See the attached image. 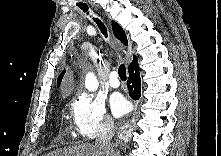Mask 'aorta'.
<instances>
[{"instance_id":"obj_1","label":"aorta","mask_w":221,"mask_h":156,"mask_svg":"<svg viewBox=\"0 0 221 156\" xmlns=\"http://www.w3.org/2000/svg\"><path fill=\"white\" fill-rule=\"evenodd\" d=\"M85 87L89 91H95L98 88V80L93 73H88L85 78Z\"/></svg>"}]
</instances>
